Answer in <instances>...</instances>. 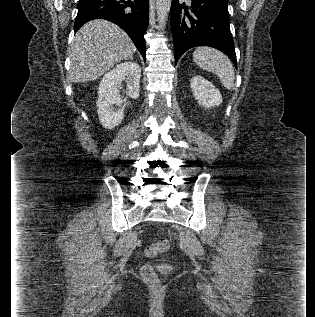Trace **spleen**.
Here are the masks:
<instances>
[{"label": "spleen", "mask_w": 315, "mask_h": 317, "mask_svg": "<svg viewBox=\"0 0 315 317\" xmlns=\"http://www.w3.org/2000/svg\"><path fill=\"white\" fill-rule=\"evenodd\" d=\"M193 59L202 69L215 73L227 89H234V68L222 52L210 47H198Z\"/></svg>", "instance_id": "obj_1"}]
</instances>
